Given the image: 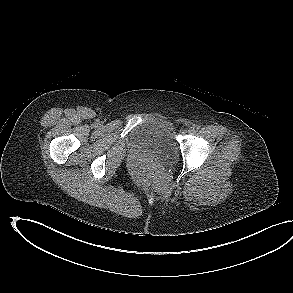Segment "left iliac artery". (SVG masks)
<instances>
[{
  "label": "left iliac artery",
  "mask_w": 293,
  "mask_h": 293,
  "mask_svg": "<svg viewBox=\"0 0 293 293\" xmlns=\"http://www.w3.org/2000/svg\"><path fill=\"white\" fill-rule=\"evenodd\" d=\"M200 125H194V128L196 129V130H199L200 129Z\"/></svg>",
  "instance_id": "1"
}]
</instances>
